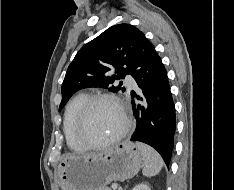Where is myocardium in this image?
Instances as JSON below:
<instances>
[{"label": "myocardium", "instance_id": "f54148a6", "mask_svg": "<svg viewBox=\"0 0 234 190\" xmlns=\"http://www.w3.org/2000/svg\"><path fill=\"white\" fill-rule=\"evenodd\" d=\"M100 101H109L115 104L119 108L122 114L124 123H123V127L113 137L100 143H94L86 134V125H87V120H88V116H89L91 108L93 107L95 103L100 102ZM131 125H132V121H131L128 109L125 106V104L119 98H117L116 96L112 94L101 93V94L88 96V98L82 105L79 115H78V119H77L76 134H77L78 139L87 148L99 149V148L110 146L118 142L128 133V131L131 128Z\"/></svg>", "mask_w": 234, "mask_h": 190}]
</instances>
